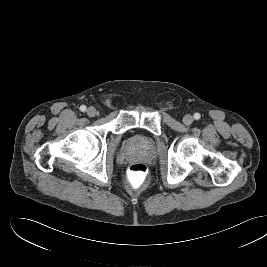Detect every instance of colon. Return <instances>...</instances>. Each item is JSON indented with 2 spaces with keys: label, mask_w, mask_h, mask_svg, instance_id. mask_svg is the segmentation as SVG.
Returning a JSON list of instances; mask_svg holds the SVG:
<instances>
[{
  "label": "colon",
  "mask_w": 267,
  "mask_h": 267,
  "mask_svg": "<svg viewBox=\"0 0 267 267\" xmlns=\"http://www.w3.org/2000/svg\"><path fill=\"white\" fill-rule=\"evenodd\" d=\"M148 178V168L143 163H133L130 165L127 171L128 183L133 188L142 187Z\"/></svg>",
  "instance_id": "5ec220e1"
}]
</instances>
